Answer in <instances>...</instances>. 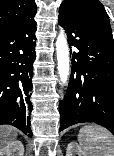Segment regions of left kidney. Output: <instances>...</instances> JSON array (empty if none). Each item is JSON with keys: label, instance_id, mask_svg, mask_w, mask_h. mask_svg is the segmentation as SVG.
I'll list each match as a JSON object with an SVG mask.
<instances>
[{"label": "left kidney", "instance_id": "5707ae66", "mask_svg": "<svg viewBox=\"0 0 114 156\" xmlns=\"http://www.w3.org/2000/svg\"><path fill=\"white\" fill-rule=\"evenodd\" d=\"M66 156H86V154L75 141H72L67 146Z\"/></svg>", "mask_w": 114, "mask_h": 156}]
</instances>
